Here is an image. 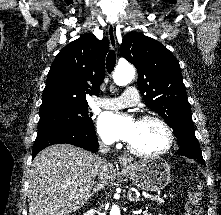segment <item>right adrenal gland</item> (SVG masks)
<instances>
[{"label":"right adrenal gland","mask_w":221,"mask_h":215,"mask_svg":"<svg viewBox=\"0 0 221 215\" xmlns=\"http://www.w3.org/2000/svg\"><path fill=\"white\" fill-rule=\"evenodd\" d=\"M101 189L100 185H96L94 188H93V191L92 193L90 194V197L93 196L94 194H96L99 190Z\"/></svg>","instance_id":"right-adrenal-gland-1"}]
</instances>
